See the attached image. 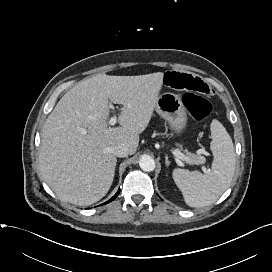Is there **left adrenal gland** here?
Listing matches in <instances>:
<instances>
[{"mask_svg":"<svg viewBox=\"0 0 272 272\" xmlns=\"http://www.w3.org/2000/svg\"><path fill=\"white\" fill-rule=\"evenodd\" d=\"M165 159H166V160H165L166 165L169 166L170 161L168 160V156H166Z\"/></svg>","mask_w":272,"mask_h":272,"instance_id":"1","label":"left adrenal gland"}]
</instances>
